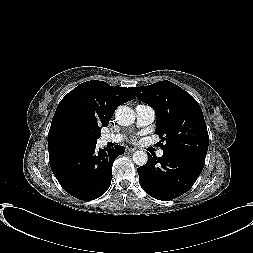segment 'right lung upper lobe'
Segmentation results:
<instances>
[{"instance_id": "cb5924a9", "label": "right lung upper lobe", "mask_w": 253, "mask_h": 253, "mask_svg": "<svg viewBox=\"0 0 253 253\" xmlns=\"http://www.w3.org/2000/svg\"><path fill=\"white\" fill-rule=\"evenodd\" d=\"M131 91L130 87H113L98 80L84 82L70 91L60 101L52 119L48 134L49 158L76 149L65 142V128L80 125L100 132L119 105L135 98Z\"/></svg>"}]
</instances>
